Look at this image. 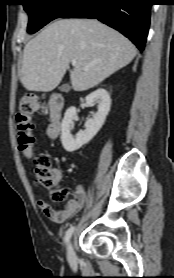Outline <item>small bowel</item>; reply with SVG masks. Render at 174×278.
Masks as SVG:
<instances>
[{
    "mask_svg": "<svg viewBox=\"0 0 174 278\" xmlns=\"http://www.w3.org/2000/svg\"><path fill=\"white\" fill-rule=\"evenodd\" d=\"M56 174L57 185L61 179V174L58 171H56ZM64 201L66 207L62 210H55L43 199H38L37 205L47 218L53 222L62 223L82 208L86 201L85 189L81 185H78L73 193V197L71 199L64 198Z\"/></svg>",
    "mask_w": 174,
    "mask_h": 278,
    "instance_id": "obj_1",
    "label": "small bowel"
}]
</instances>
